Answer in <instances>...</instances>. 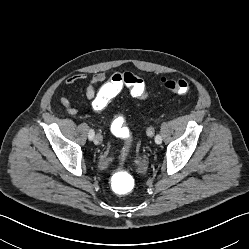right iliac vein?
<instances>
[{"mask_svg": "<svg viewBox=\"0 0 249 249\" xmlns=\"http://www.w3.org/2000/svg\"><path fill=\"white\" fill-rule=\"evenodd\" d=\"M103 141V138L100 134H96L95 138H94V143L96 145L100 144Z\"/></svg>", "mask_w": 249, "mask_h": 249, "instance_id": "obj_1", "label": "right iliac vein"}]
</instances>
